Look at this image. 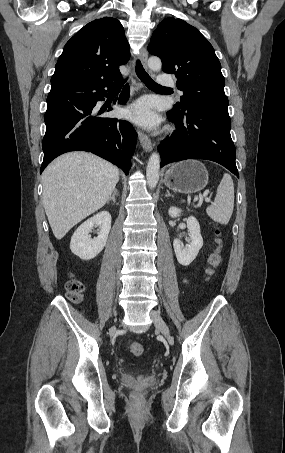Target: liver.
I'll use <instances>...</instances> for the list:
<instances>
[{
	"label": "liver",
	"mask_w": 285,
	"mask_h": 453,
	"mask_svg": "<svg viewBox=\"0 0 285 453\" xmlns=\"http://www.w3.org/2000/svg\"><path fill=\"white\" fill-rule=\"evenodd\" d=\"M119 180L111 163L87 152L59 156L44 170L43 205L56 239L103 207Z\"/></svg>",
	"instance_id": "liver-1"
}]
</instances>
